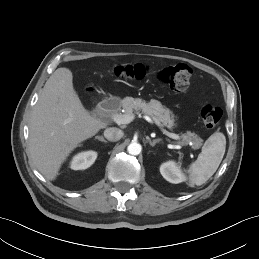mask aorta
I'll list each match as a JSON object with an SVG mask.
<instances>
[{
	"mask_svg": "<svg viewBox=\"0 0 259 259\" xmlns=\"http://www.w3.org/2000/svg\"><path fill=\"white\" fill-rule=\"evenodd\" d=\"M141 150H142V146L139 143H131L127 147V151L131 155H138L140 154Z\"/></svg>",
	"mask_w": 259,
	"mask_h": 259,
	"instance_id": "1",
	"label": "aorta"
}]
</instances>
